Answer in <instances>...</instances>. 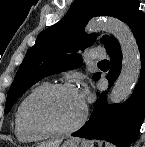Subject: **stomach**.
<instances>
[{
	"label": "stomach",
	"instance_id": "0dacf381",
	"mask_svg": "<svg viewBox=\"0 0 145 147\" xmlns=\"http://www.w3.org/2000/svg\"><path fill=\"white\" fill-rule=\"evenodd\" d=\"M62 147H84L82 144L79 146L78 142L74 140H67L63 143Z\"/></svg>",
	"mask_w": 145,
	"mask_h": 147
}]
</instances>
